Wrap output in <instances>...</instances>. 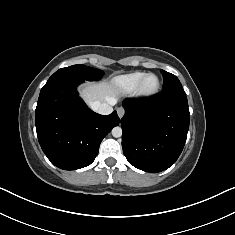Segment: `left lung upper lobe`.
<instances>
[{"label": "left lung upper lobe", "mask_w": 235, "mask_h": 235, "mask_svg": "<svg viewBox=\"0 0 235 235\" xmlns=\"http://www.w3.org/2000/svg\"><path fill=\"white\" fill-rule=\"evenodd\" d=\"M161 73L163 75V89H162V91L182 88V85H181L179 79L175 75H173L169 72H166L164 70H161Z\"/></svg>", "instance_id": "left-lung-upper-lobe-1"}]
</instances>
